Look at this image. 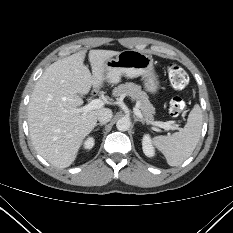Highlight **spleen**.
I'll return each instance as SVG.
<instances>
[{
	"mask_svg": "<svg viewBox=\"0 0 233 233\" xmlns=\"http://www.w3.org/2000/svg\"><path fill=\"white\" fill-rule=\"evenodd\" d=\"M202 110L195 105L189 113L187 123L171 136H156L153 139L155 146L166 157L170 166L182 164L194 151L201 135Z\"/></svg>",
	"mask_w": 233,
	"mask_h": 233,
	"instance_id": "spleen-1",
	"label": "spleen"
}]
</instances>
